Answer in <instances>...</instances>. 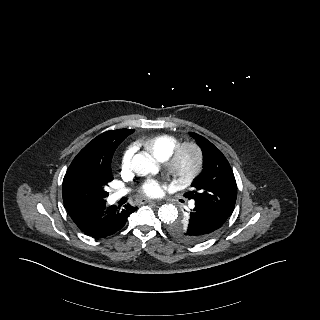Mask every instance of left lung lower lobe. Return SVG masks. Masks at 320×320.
Wrapping results in <instances>:
<instances>
[{
	"instance_id": "0a47b994",
	"label": "left lung lower lobe",
	"mask_w": 320,
	"mask_h": 320,
	"mask_svg": "<svg viewBox=\"0 0 320 320\" xmlns=\"http://www.w3.org/2000/svg\"><path fill=\"white\" fill-rule=\"evenodd\" d=\"M226 220L227 218L198 203H195V207L187 219L190 234L197 238L199 242L214 235Z\"/></svg>"
}]
</instances>
